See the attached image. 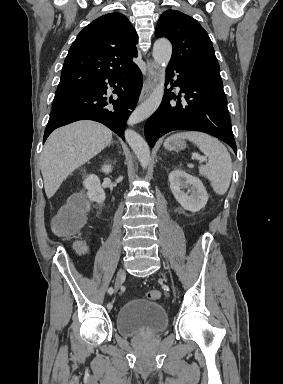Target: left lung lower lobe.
Returning <instances> with one entry per match:
<instances>
[{"label":"left lung lower lobe","instance_id":"0a47b994","mask_svg":"<svg viewBox=\"0 0 283 384\" xmlns=\"http://www.w3.org/2000/svg\"><path fill=\"white\" fill-rule=\"evenodd\" d=\"M174 71L178 73L174 86L180 87L183 95L179 96L185 102H181L179 96V102H170L176 96L171 92L172 87L166 90L160 107L145 125V136L149 145L153 147L159 137L170 131L194 130L223 140L237 154L222 80L194 75L168 65L167 82L173 81L171 78Z\"/></svg>","mask_w":283,"mask_h":384}]
</instances>
